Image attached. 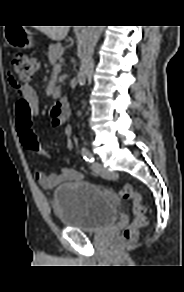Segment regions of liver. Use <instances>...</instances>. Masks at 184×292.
I'll use <instances>...</instances> for the list:
<instances>
[{
    "label": "liver",
    "mask_w": 184,
    "mask_h": 292,
    "mask_svg": "<svg viewBox=\"0 0 184 292\" xmlns=\"http://www.w3.org/2000/svg\"><path fill=\"white\" fill-rule=\"evenodd\" d=\"M69 28L70 26H40L38 29L51 40L61 41L66 37Z\"/></svg>",
    "instance_id": "1"
}]
</instances>
